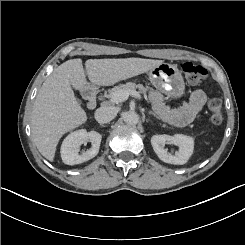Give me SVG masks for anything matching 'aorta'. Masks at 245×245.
<instances>
[{"instance_id":"aorta-1","label":"aorta","mask_w":245,"mask_h":245,"mask_svg":"<svg viewBox=\"0 0 245 245\" xmlns=\"http://www.w3.org/2000/svg\"><path fill=\"white\" fill-rule=\"evenodd\" d=\"M124 122L128 125H136L139 121V116L136 112L127 111L123 115Z\"/></svg>"}]
</instances>
